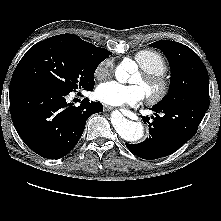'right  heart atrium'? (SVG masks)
<instances>
[{
    "label": "right heart atrium",
    "instance_id": "right-heart-atrium-1",
    "mask_svg": "<svg viewBox=\"0 0 221 221\" xmlns=\"http://www.w3.org/2000/svg\"><path fill=\"white\" fill-rule=\"evenodd\" d=\"M113 70V61L111 59L103 60L95 69L94 75L97 79L108 77Z\"/></svg>",
    "mask_w": 221,
    "mask_h": 221
}]
</instances>
